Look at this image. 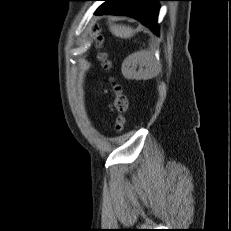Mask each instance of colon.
Here are the masks:
<instances>
[{
	"label": "colon",
	"mask_w": 231,
	"mask_h": 231,
	"mask_svg": "<svg viewBox=\"0 0 231 231\" xmlns=\"http://www.w3.org/2000/svg\"><path fill=\"white\" fill-rule=\"evenodd\" d=\"M113 101L112 109L116 113L113 124L116 130H122L126 123V114L129 110L130 102L128 97L123 93L118 85L112 88Z\"/></svg>",
	"instance_id": "1"
}]
</instances>
